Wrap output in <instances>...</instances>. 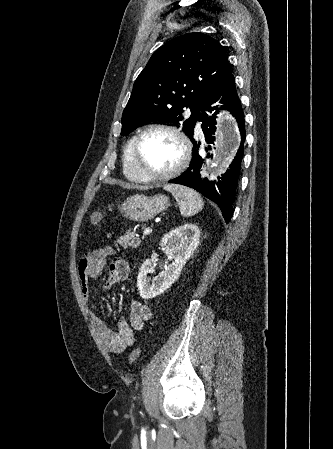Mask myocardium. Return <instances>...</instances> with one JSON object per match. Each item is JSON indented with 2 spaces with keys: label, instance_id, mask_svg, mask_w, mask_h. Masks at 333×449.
<instances>
[{
  "label": "myocardium",
  "instance_id": "f54148a6",
  "mask_svg": "<svg viewBox=\"0 0 333 449\" xmlns=\"http://www.w3.org/2000/svg\"><path fill=\"white\" fill-rule=\"evenodd\" d=\"M152 131H163L173 136L180 144L181 158L178 164L168 172L162 174L146 173L140 165V147L144 137ZM191 158V144L186 135L176 127L154 123L147 125L135 138L133 145V164L136 172L144 182H159L170 180L182 173L188 166Z\"/></svg>",
  "mask_w": 333,
  "mask_h": 449
}]
</instances>
